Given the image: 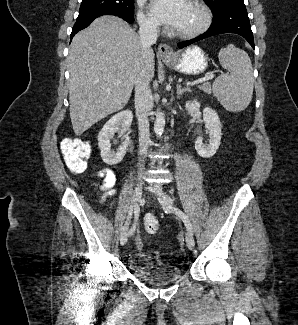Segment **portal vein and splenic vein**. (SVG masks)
<instances>
[{"instance_id":"18ae733b","label":"portal vein and splenic vein","mask_w":298,"mask_h":325,"mask_svg":"<svg viewBox=\"0 0 298 325\" xmlns=\"http://www.w3.org/2000/svg\"><path fill=\"white\" fill-rule=\"evenodd\" d=\"M214 76H216V74H208V76H203V78H198V80H193V82H187V86H192V84H199V82H204V80H210V78H214ZM118 82H121V78H118V80H116V84H118Z\"/></svg>"}]
</instances>
